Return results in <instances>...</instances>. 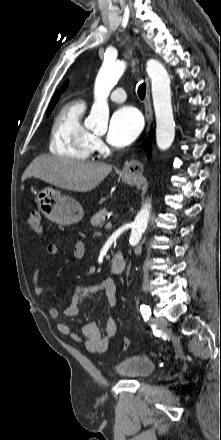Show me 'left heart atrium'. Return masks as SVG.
<instances>
[{
    "mask_svg": "<svg viewBox=\"0 0 221 440\" xmlns=\"http://www.w3.org/2000/svg\"><path fill=\"white\" fill-rule=\"evenodd\" d=\"M142 127L139 112L129 106L119 108L111 117L107 134L108 142L115 147L132 143Z\"/></svg>",
    "mask_w": 221,
    "mask_h": 440,
    "instance_id": "1",
    "label": "left heart atrium"
}]
</instances>
